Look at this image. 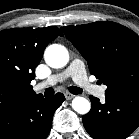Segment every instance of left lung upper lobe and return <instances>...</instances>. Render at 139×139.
Masks as SVG:
<instances>
[{
    "instance_id": "left-lung-upper-lobe-1",
    "label": "left lung upper lobe",
    "mask_w": 139,
    "mask_h": 139,
    "mask_svg": "<svg viewBox=\"0 0 139 139\" xmlns=\"http://www.w3.org/2000/svg\"><path fill=\"white\" fill-rule=\"evenodd\" d=\"M61 29L87 60L90 73L107 85L105 96L139 88V37L133 31L110 21Z\"/></svg>"
}]
</instances>
